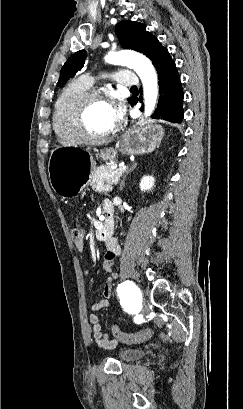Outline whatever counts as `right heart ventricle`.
<instances>
[{
    "label": "right heart ventricle",
    "mask_w": 243,
    "mask_h": 409,
    "mask_svg": "<svg viewBox=\"0 0 243 409\" xmlns=\"http://www.w3.org/2000/svg\"><path fill=\"white\" fill-rule=\"evenodd\" d=\"M88 89L89 85L83 79L73 80L61 90L54 102L52 126L59 143L62 145L73 146L81 142L70 125L68 113L73 99Z\"/></svg>",
    "instance_id": "e07e8e85"
}]
</instances>
